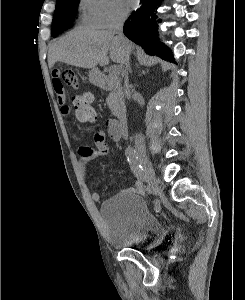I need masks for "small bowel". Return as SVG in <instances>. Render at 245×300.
<instances>
[{
	"label": "small bowel",
	"mask_w": 245,
	"mask_h": 300,
	"mask_svg": "<svg viewBox=\"0 0 245 300\" xmlns=\"http://www.w3.org/2000/svg\"><path fill=\"white\" fill-rule=\"evenodd\" d=\"M52 87L54 90V93L56 95V100L58 105L60 106V113L64 118H69L71 115V110L70 107L66 104V99H65V93H64V88L62 81L60 78L56 75L53 74V79H52ZM106 126V132L109 135V137L115 141L118 142L120 139H122L126 134H124L118 124V121L116 119H109L105 123ZM94 139H95V144L96 148L95 149H88V148H80V155L88 160L94 157L98 156H103V157H109L110 156V150L105 143V131L103 128H98L95 131L94 134ZM130 192L137 193V194H142L144 191V186L143 183L140 179L135 180L134 187L129 189ZM92 199L95 202L100 201L101 195L99 192H94L92 194Z\"/></svg>",
	"instance_id": "obj_1"
}]
</instances>
